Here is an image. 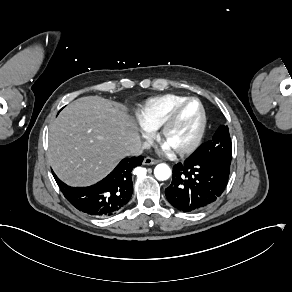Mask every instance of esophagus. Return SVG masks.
Masks as SVG:
<instances>
[{
    "label": "esophagus",
    "instance_id": "obj_1",
    "mask_svg": "<svg viewBox=\"0 0 292 292\" xmlns=\"http://www.w3.org/2000/svg\"><path fill=\"white\" fill-rule=\"evenodd\" d=\"M159 162H160L159 160L153 159L151 157H146L143 160V164L144 165H155V164H157Z\"/></svg>",
    "mask_w": 292,
    "mask_h": 292
}]
</instances>
